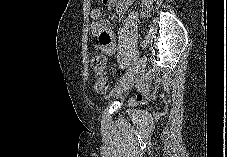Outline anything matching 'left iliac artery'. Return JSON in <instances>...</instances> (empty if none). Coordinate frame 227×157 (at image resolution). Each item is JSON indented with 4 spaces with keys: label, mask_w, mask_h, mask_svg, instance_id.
<instances>
[{
    "label": "left iliac artery",
    "mask_w": 227,
    "mask_h": 157,
    "mask_svg": "<svg viewBox=\"0 0 227 157\" xmlns=\"http://www.w3.org/2000/svg\"><path fill=\"white\" fill-rule=\"evenodd\" d=\"M134 65H135V63L132 64L131 67H129V69L126 71V73L118 80L117 84L122 83L127 80V78L132 74V72L134 70Z\"/></svg>",
    "instance_id": "obj_1"
}]
</instances>
